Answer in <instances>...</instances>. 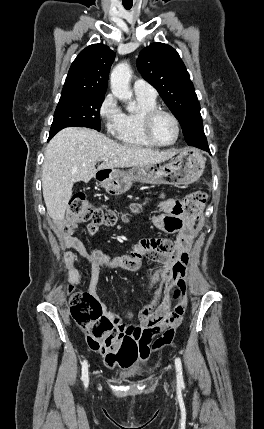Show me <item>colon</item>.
I'll use <instances>...</instances> for the list:
<instances>
[{"label": "colon", "instance_id": "obj_1", "mask_svg": "<svg viewBox=\"0 0 264 429\" xmlns=\"http://www.w3.org/2000/svg\"><path fill=\"white\" fill-rule=\"evenodd\" d=\"M206 193L197 190L187 194L180 210L195 225L204 209ZM134 205L132 211L139 210ZM119 215L113 210L102 206H94L83 194H75L67 211V220L70 224L89 222L95 225H114ZM70 311L75 324L86 333L88 346L95 351L106 354V362L110 366L129 367L137 358V343L127 337L123 331L122 318L106 316L102 312L100 303L87 293L75 292L70 289ZM176 309L184 311L185 297L183 284H178L173 293Z\"/></svg>", "mask_w": 264, "mask_h": 429}]
</instances>
